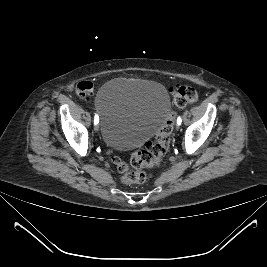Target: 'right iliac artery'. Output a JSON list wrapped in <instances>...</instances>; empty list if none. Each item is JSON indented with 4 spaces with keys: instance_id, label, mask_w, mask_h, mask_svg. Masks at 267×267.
<instances>
[{
    "instance_id": "82829eb1",
    "label": "right iliac artery",
    "mask_w": 267,
    "mask_h": 267,
    "mask_svg": "<svg viewBox=\"0 0 267 267\" xmlns=\"http://www.w3.org/2000/svg\"><path fill=\"white\" fill-rule=\"evenodd\" d=\"M99 122V118L97 115H95L94 123L97 124Z\"/></svg>"
}]
</instances>
